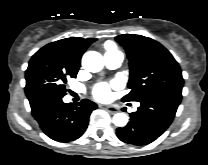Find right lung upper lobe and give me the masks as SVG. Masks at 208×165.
I'll return each mask as SVG.
<instances>
[{"label":"right lung upper lobe","mask_w":208,"mask_h":165,"mask_svg":"<svg viewBox=\"0 0 208 165\" xmlns=\"http://www.w3.org/2000/svg\"><path fill=\"white\" fill-rule=\"evenodd\" d=\"M94 41H96L95 38L83 39L72 37L52 42L44 47L54 49L62 53L71 62L80 65L82 54Z\"/></svg>","instance_id":"right-lung-upper-lobe-1"}]
</instances>
